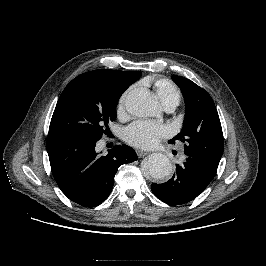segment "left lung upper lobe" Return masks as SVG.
Wrapping results in <instances>:
<instances>
[{
    "mask_svg": "<svg viewBox=\"0 0 266 266\" xmlns=\"http://www.w3.org/2000/svg\"><path fill=\"white\" fill-rule=\"evenodd\" d=\"M185 100V121L182 131L169 141L185 143L184 153L218 167L224 150L220 119L208 92L189 79L172 76Z\"/></svg>",
    "mask_w": 266,
    "mask_h": 266,
    "instance_id": "left-lung-upper-lobe-1",
    "label": "left lung upper lobe"
}]
</instances>
